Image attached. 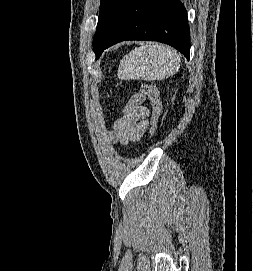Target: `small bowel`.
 Here are the masks:
<instances>
[{"label": "small bowel", "instance_id": "obj_1", "mask_svg": "<svg viewBox=\"0 0 253 271\" xmlns=\"http://www.w3.org/2000/svg\"><path fill=\"white\" fill-rule=\"evenodd\" d=\"M142 96H135L124 107L121 116L114 122L109 138L121 145L139 141L149 127L148 110L141 105Z\"/></svg>", "mask_w": 253, "mask_h": 271}]
</instances>
